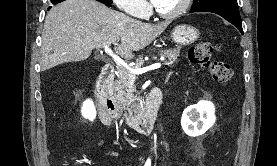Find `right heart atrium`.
<instances>
[{
	"label": "right heart atrium",
	"mask_w": 277,
	"mask_h": 166,
	"mask_svg": "<svg viewBox=\"0 0 277 166\" xmlns=\"http://www.w3.org/2000/svg\"><path fill=\"white\" fill-rule=\"evenodd\" d=\"M113 2L121 11L133 16H144L148 12L145 0H113Z\"/></svg>",
	"instance_id": "obj_1"
}]
</instances>
